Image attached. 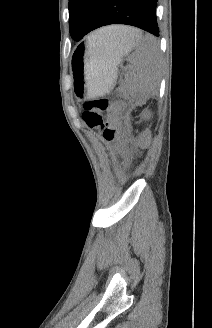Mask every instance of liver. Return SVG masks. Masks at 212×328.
Masks as SVG:
<instances>
[{"instance_id": "6515ba94", "label": "liver", "mask_w": 212, "mask_h": 328, "mask_svg": "<svg viewBox=\"0 0 212 328\" xmlns=\"http://www.w3.org/2000/svg\"><path fill=\"white\" fill-rule=\"evenodd\" d=\"M140 31L126 26H111L104 29L102 32L107 48L116 50L118 47L131 45L137 41L136 35Z\"/></svg>"}]
</instances>
